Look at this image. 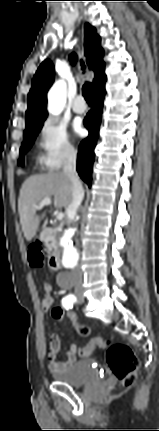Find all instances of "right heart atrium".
Masks as SVG:
<instances>
[{
  "instance_id": "d8ad5b80",
  "label": "right heart atrium",
  "mask_w": 159,
  "mask_h": 431,
  "mask_svg": "<svg viewBox=\"0 0 159 431\" xmlns=\"http://www.w3.org/2000/svg\"><path fill=\"white\" fill-rule=\"evenodd\" d=\"M39 162L47 170H57L76 156V149L63 125L46 119L38 130Z\"/></svg>"
}]
</instances>
